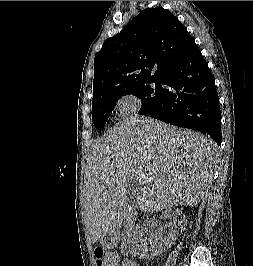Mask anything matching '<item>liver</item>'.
<instances>
[{
	"label": "liver",
	"mask_w": 253,
	"mask_h": 266,
	"mask_svg": "<svg viewBox=\"0 0 253 266\" xmlns=\"http://www.w3.org/2000/svg\"><path fill=\"white\" fill-rule=\"evenodd\" d=\"M216 145L198 132L144 117H132L94 143L85 172V224L91 243L128 216L127 184L141 180L135 205L159 212L197 206L212 178Z\"/></svg>",
	"instance_id": "1"
}]
</instances>
